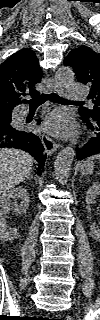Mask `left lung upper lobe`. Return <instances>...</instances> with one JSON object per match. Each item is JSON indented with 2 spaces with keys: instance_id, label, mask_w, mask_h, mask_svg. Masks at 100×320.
Listing matches in <instances>:
<instances>
[{
  "instance_id": "5c2ea615",
  "label": "left lung upper lobe",
  "mask_w": 100,
  "mask_h": 320,
  "mask_svg": "<svg viewBox=\"0 0 100 320\" xmlns=\"http://www.w3.org/2000/svg\"><path fill=\"white\" fill-rule=\"evenodd\" d=\"M64 65L74 69L79 82L90 85L88 99L94 106L92 109L80 108L79 114L90 119L100 117V56L91 48L80 46L68 54Z\"/></svg>"
}]
</instances>
